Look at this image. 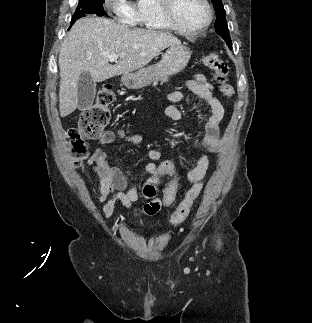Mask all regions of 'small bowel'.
<instances>
[{"label": "small bowel", "instance_id": "obj_1", "mask_svg": "<svg viewBox=\"0 0 312 323\" xmlns=\"http://www.w3.org/2000/svg\"><path fill=\"white\" fill-rule=\"evenodd\" d=\"M185 86L202 102L203 109L206 113L204 146L211 154L220 152L222 148L220 127L224 117V108L215 96L214 87L202 73L195 74L194 78L185 83ZM167 99L171 103H179L185 99V94L182 89L175 88L168 93ZM164 114L167 118L175 122L183 119V113L173 105L167 106ZM127 141L130 144L139 145L143 142V137L140 135H131L127 138ZM147 156L150 162L146 164L145 171L149 176H154V174H151L150 169L151 167H157L154 164V159L162 157L161 151L157 148H150ZM86 164L98 179V203L102 205L101 212L105 219L112 216L117 203H120L125 209L132 208L133 204L138 200L139 188L137 185L128 188V178L108 161L107 155L103 150L96 149L88 158ZM209 165L210 156L208 154L201 156L196 164L188 171V181L191 183L201 181ZM163 207L166 208L168 206Z\"/></svg>", "mask_w": 312, "mask_h": 323}]
</instances>
